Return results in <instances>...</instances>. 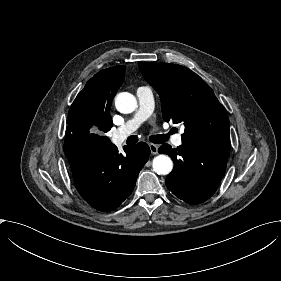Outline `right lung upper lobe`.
<instances>
[{
    "instance_id": "cb5924a9",
    "label": "right lung upper lobe",
    "mask_w": 281,
    "mask_h": 281,
    "mask_svg": "<svg viewBox=\"0 0 281 281\" xmlns=\"http://www.w3.org/2000/svg\"><path fill=\"white\" fill-rule=\"evenodd\" d=\"M125 65L101 70L95 74L72 103L66 128V138L96 135L112 127L110 107L124 80Z\"/></svg>"
}]
</instances>
